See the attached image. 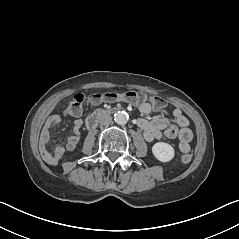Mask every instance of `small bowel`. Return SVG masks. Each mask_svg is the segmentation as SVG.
I'll use <instances>...</instances> for the list:
<instances>
[{
    "label": "small bowel",
    "instance_id": "1",
    "mask_svg": "<svg viewBox=\"0 0 239 239\" xmlns=\"http://www.w3.org/2000/svg\"><path fill=\"white\" fill-rule=\"evenodd\" d=\"M139 109L143 115H149L152 112L162 113V115L151 120L146 118L138 120V126L143 130L144 137L147 141L159 140L163 136L169 139H178L180 151L182 153L189 152L193 134L189 128V120L179 108H175L172 111L173 122H170L165 116L167 113L165 110L156 108L148 102L142 103ZM61 121L62 118L60 115L51 116L44 124L40 134V153L43 160L50 165L57 164L66 150H74L80 139L83 120L77 118L73 122V134L68 136L64 143L56 144L53 149L50 150L51 131L58 126Z\"/></svg>",
    "mask_w": 239,
    "mask_h": 239
}]
</instances>
